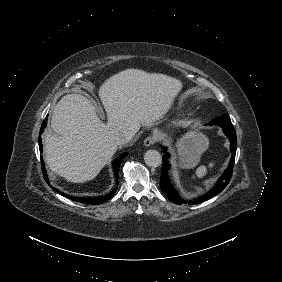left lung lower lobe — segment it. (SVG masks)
Wrapping results in <instances>:
<instances>
[{
    "instance_id": "left-lung-lower-lobe-1",
    "label": "left lung lower lobe",
    "mask_w": 282,
    "mask_h": 282,
    "mask_svg": "<svg viewBox=\"0 0 282 282\" xmlns=\"http://www.w3.org/2000/svg\"><path fill=\"white\" fill-rule=\"evenodd\" d=\"M209 124L213 125H219L220 127L223 128L224 133L228 136L231 145L230 149L232 152V158L230 161L229 166L225 170L224 174L222 177L218 180L217 184L214 186L213 189H211L208 193L203 195L202 197L196 199V200H184L182 199L177 191L173 188L172 184L169 182V179L167 177V170L170 168V164L168 162L169 154L165 153L163 156V164H162V172H161V178H160V186L165 194V196L171 201L174 202L175 204L181 205V204H197L204 202L217 194H219L229 183L231 176H232V171H233V166H234V160H235V154H236V148H237V141H236V132L235 129L231 123L230 117L228 115H222L212 121L209 122ZM164 152H166V149H163Z\"/></svg>"
}]
</instances>
